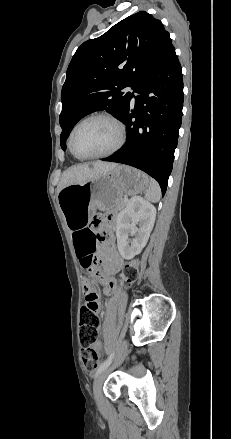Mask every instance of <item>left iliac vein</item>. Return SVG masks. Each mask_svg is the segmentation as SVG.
<instances>
[{
	"instance_id": "4c4485c4",
	"label": "left iliac vein",
	"mask_w": 231,
	"mask_h": 439,
	"mask_svg": "<svg viewBox=\"0 0 231 439\" xmlns=\"http://www.w3.org/2000/svg\"><path fill=\"white\" fill-rule=\"evenodd\" d=\"M126 346H127L126 341L124 340L122 343V346L120 348V351H119L117 357L115 358L114 362L110 366H108L106 369L101 371L97 375V377L94 381L93 395H94L95 402L99 408H102L104 405V399L102 396V386H103L104 378L111 370H113L116 366H118L122 362L124 355H125V352H126Z\"/></svg>"
}]
</instances>
